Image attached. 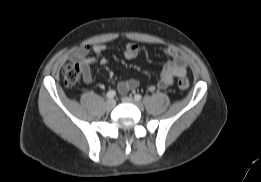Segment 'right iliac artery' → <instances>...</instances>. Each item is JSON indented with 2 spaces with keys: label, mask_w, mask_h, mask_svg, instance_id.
Wrapping results in <instances>:
<instances>
[{
  "label": "right iliac artery",
  "mask_w": 261,
  "mask_h": 182,
  "mask_svg": "<svg viewBox=\"0 0 261 182\" xmlns=\"http://www.w3.org/2000/svg\"><path fill=\"white\" fill-rule=\"evenodd\" d=\"M116 96V91L115 90H109L106 94V97L108 99H113Z\"/></svg>",
  "instance_id": "obj_1"
}]
</instances>
